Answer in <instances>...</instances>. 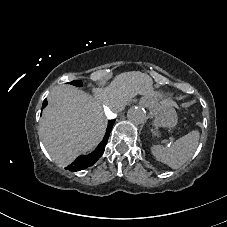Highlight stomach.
I'll use <instances>...</instances> for the list:
<instances>
[{"instance_id": "1", "label": "stomach", "mask_w": 227, "mask_h": 227, "mask_svg": "<svg viewBox=\"0 0 227 227\" xmlns=\"http://www.w3.org/2000/svg\"><path fill=\"white\" fill-rule=\"evenodd\" d=\"M152 111L154 114V124L157 127L173 128L177 124V114L173 107L158 102H152Z\"/></svg>"}]
</instances>
